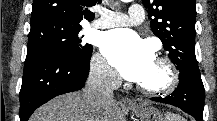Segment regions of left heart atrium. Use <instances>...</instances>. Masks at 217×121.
<instances>
[{
  "label": "left heart atrium",
  "mask_w": 217,
  "mask_h": 121,
  "mask_svg": "<svg viewBox=\"0 0 217 121\" xmlns=\"http://www.w3.org/2000/svg\"><path fill=\"white\" fill-rule=\"evenodd\" d=\"M101 50L118 73L130 81L140 82L154 63L152 48L127 29H116L105 33Z\"/></svg>",
  "instance_id": "left-heart-atrium-1"
}]
</instances>
